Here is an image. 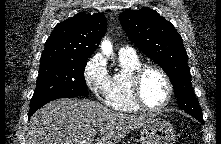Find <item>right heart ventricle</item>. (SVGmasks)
<instances>
[{"instance_id": "right-heart-ventricle-1", "label": "right heart ventricle", "mask_w": 221, "mask_h": 144, "mask_svg": "<svg viewBox=\"0 0 221 144\" xmlns=\"http://www.w3.org/2000/svg\"><path fill=\"white\" fill-rule=\"evenodd\" d=\"M120 69L111 76L110 93L107 104L118 111L136 112L139 110L134 103L130 91V75L142 63L140 59L119 55Z\"/></svg>"}]
</instances>
